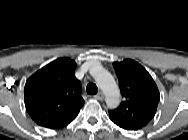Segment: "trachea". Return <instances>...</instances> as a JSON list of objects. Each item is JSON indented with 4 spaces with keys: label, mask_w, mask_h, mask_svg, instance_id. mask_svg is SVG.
I'll return each mask as SVG.
<instances>
[{
    "label": "trachea",
    "mask_w": 188,
    "mask_h": 140,
    "mask_svg": "<svg viewBox=\"0 0 188 140\" xmlns=\"http://www.w3.org/2000/svg\"><path fill=\"white\" fill-rule=\"evenodd\" d=\"M86 92L89 95H95L98 92V88H97V86L95 84L90 83L86 87Z\"/></svg>",
    "instance_id": "trachea-1"
}]
</instances>
